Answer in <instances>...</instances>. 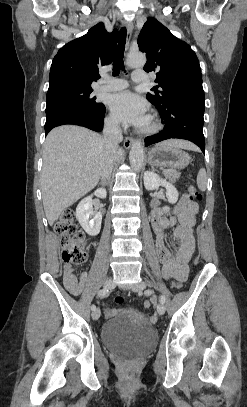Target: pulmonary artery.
<instances>
[{"mask_svg":"<svg viewBox=\"0 0 247 407\" xmlns=\"http://www.w3.org/2000/svg\"><path fill=\"white\" fill-rule=\"evenodd\" d=\"M132 81L135 83H145L148 81V76L145 71L135 70L132 75ZM128 86V82L124 79H111L102 81L99 88L104 91L122 90Z\"/></svg>","mask_w":247,"mask_h":407,"instance_id":"obj_1","label":"pulmonary artery"}]
</instances>
